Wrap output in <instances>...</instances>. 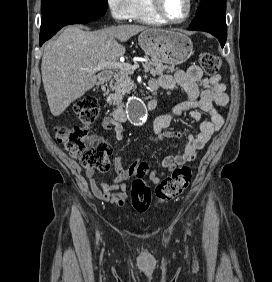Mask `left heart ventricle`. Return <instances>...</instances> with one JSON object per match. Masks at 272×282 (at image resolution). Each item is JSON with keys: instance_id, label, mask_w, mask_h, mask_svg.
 Instances as JSON below:
<instances>
[{"instance_id": "left-heart-ventricle-1", "label": "left heart ventricle", "mask_w": 272, "mask_h": 282, "mask_svg": "<svg viewBox=\"0 0 272 282\" xmlns=\"http://www.w3.org/2000/svg\"><path fill=\"white\" fill-rule=\"evenodd\" d=\"M165 12L174 19L183 18L187 12L186 0H161Z\"/></svg>"}]
</instances>
